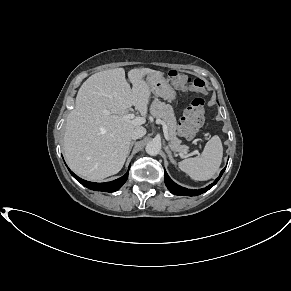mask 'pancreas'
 <instances>
[{"label": "pancreas", "instance_id": "1", "mask_svg": "<svg viewBox=\"0 0 291 291\" xmlns=\"http://www.w3.org/2000/svg\"><path fill=\"white\" fill-rule=\"evenodd\" d=\"M151 114L157 119H163L168 127V135L170 144L174 147V151H183L189 149L186 145H181V140L177 138L176 118L171 105L165 104L159 100L153 101L150 107Z\"/></svg>", "mask_w": 291, "mask_h": 291}]
</instances>
